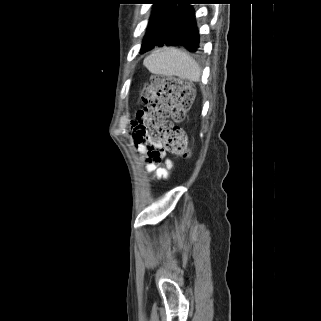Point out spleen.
Wrapping results in <instances>:
<instances>
[{
    "mask_svg": "<svg viewBox=\"0 0 321 321\" xmlns=\"http://www.w3.org/2000/svg\"><path fill=\"white\" fill-rule=\"evenodd\" d=\"M143 65L155 75L178 76L190 81H199L201 69L186 52L174 47H163L148 55Z\"/></svg>",
    "mask_w": 321,
    "mask_h": 321,
    "instance_id": "3e777b00",
    "label": "spleen"
}]
</instances>
